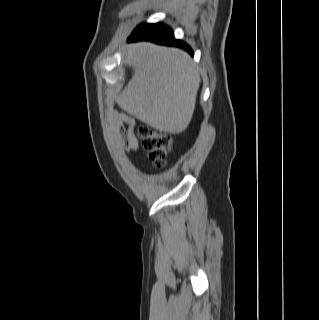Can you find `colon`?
I'll return each mask as SVG.
<instances>
[{"label": "colon", "mask_w": 319, "mask_h": 320, "mask_svg": "<svg viewBox=\"0 0 319 320\" xmlns=\"http://www.w3.org/2000/svg\"><path fill=\"white\" fill-rule=\"evenodd\" d=\"M138 136L150 159L158 168H163L173 143L172 137L167 133L158 132L146 126L139 128Z\"/></svg>", "instance_id": "5ec220e1"}]
</instances>
